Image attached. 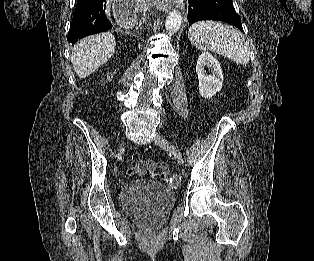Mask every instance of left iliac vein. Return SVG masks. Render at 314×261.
<instances>
[{"label": "left iliac vein", "mask_w": 314, "mask_h": 261, "mask_svg": "<svg viewBox=\"0 0 314 261\" xmlns=\"http://www.w3.org/2000/svg\"><path fill=\"white\" fill-rule=\"evenodd\" d=\"M155 143L163 148H165L168 152H170L174 158L178 161V163H183V156L179 149L173 145L169 140H167L165 137L159 135L155 139Z\"/></svg>", "instance_id": "obj_1"}]
</instances>
